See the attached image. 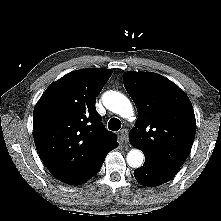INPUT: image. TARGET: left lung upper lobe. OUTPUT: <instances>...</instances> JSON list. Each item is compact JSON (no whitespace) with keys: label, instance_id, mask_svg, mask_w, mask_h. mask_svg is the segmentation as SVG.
<instances>
[{"label":"left lung upper lobe","instance_id":"1","mask_svg":"<svg viewBox=\"0 0 221 221\" xmlns=\"http://www.w3.org/2000/svg\"><path fill=\"white\" fill-rule=\"evenodd\" d=\"M124 86L139 118L130 143L154 162L179 170L188 157L196 120L188 96L169 79L150 72H128Z\"/></svg>","mask_w":221,"mask_h":221}]
</instances>
